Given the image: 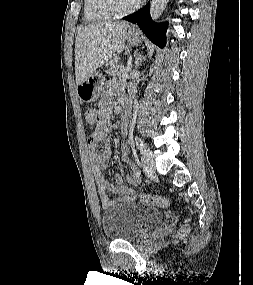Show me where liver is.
I'll use <instances>...</instances> for the list:
<instances>
[{"label": "liver", "instance_id": "6515ba94", "mask_svg": "<svg viewBox=\"0 0 253 285\" xmlns=\"http://www.w3.org/2000/svg\"><path fill=\"white\" fill-rule=\"evenodd\" d=\"M126 22H104L79 29L75 41V76L80 85L125 47Z\"/></svg>", "mask_w": 253, "mask_h": 285}]
</instances>
